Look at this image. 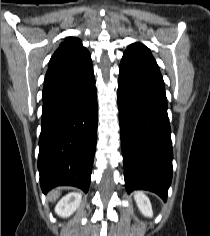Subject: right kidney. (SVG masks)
<instances>
[{
  "label": "right kidney",
  "instance_id": "right-kidney-1",
  "mask_svg": "<svg viewBox=\"0 0 210 236\" xmlns=\"http://www.w3.org/2000/svg\"><path fill=\"white\" fill-rule=\"evenodd\" d=\"M81 198L80 193H69L58 202L55 213L61 217L70 216L79 207Z\"/></svg>",
  "mask_w": 210,
  "mask_h": 236
}]
</instances>
